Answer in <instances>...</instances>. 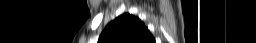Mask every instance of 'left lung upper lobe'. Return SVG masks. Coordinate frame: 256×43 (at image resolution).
<instances>
[{
    "mask_svg": "<svg viewBox=\"0 0 256 43\" xmlns=\"http://www.w3.org/2000/svg\"><path fill=\"white\" fill-rule=\"evenodd\" d=\"M98 43H155V39L138 17L126 13L106 26Z\"/></svg>",
    "mask_w": 256,
    "mask_h": 43,
    "instance_id": "5c2ea615",
    "label": "left lung upper lobe"
}]
</instances>
